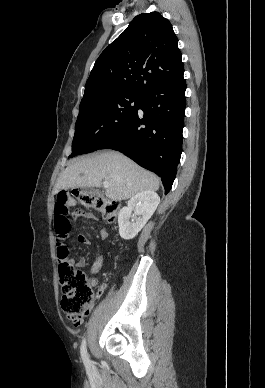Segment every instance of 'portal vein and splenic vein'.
<instances>
[{"label":"portal vein and splenic vein","mask_w":265,"mask_h":388,"mask_svg":"<svg viewBox=\"0 0 265 388\" xmlns=\"http://www.w3.org/2000/svg\"><path fill=\"white\" fill-rule=\"evenodd\" d=\"M103 186H104V188H108L109 182H106V180H105V182H103Z\"/></svg>","instance_id":"portal-vein-and-splenic-vein-1"}]
</instances>
